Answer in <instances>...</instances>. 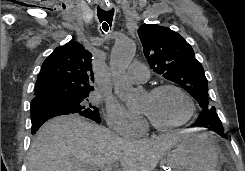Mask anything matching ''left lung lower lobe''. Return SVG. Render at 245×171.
Instances as JSON below:
<instances>
[{
	"mask_svg": "<svg viewBox=\"0 0 245 171\" xmlns=\"http://www.w3.org/2000/svg\"><path fill=\"white\" fill-rule=\"evenodd\" d=\"M195 125L198 127H207L215 131L218 135L226 138V135L224 134V130L222 127V123L215 111H202L197 121L195 122Z\"/></svg>",
	"mask_w": 245,
	"mask_h": 171,
	"instance_id": "obj_1",
	"label": "left lung lower lobe"
}]
</instances>
